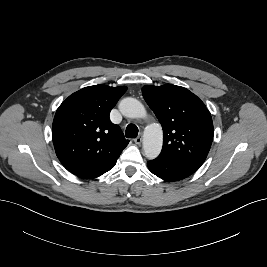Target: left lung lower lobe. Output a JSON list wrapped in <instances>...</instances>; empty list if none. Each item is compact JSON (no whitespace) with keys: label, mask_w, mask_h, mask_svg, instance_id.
Masks as SVG:
<instances>
[{"label":"left lung lower lobe","mask_w":267,"mask_h":267,"mask_svg":"<svg viewBox=\"0 0 267 267\" xmlns=\"http://www.w3.org/2000/svg\"><path fill=\"white\" fill-rule=\"evenodd\" d=\"M147 166L154 175L165 181H179L190 176L199 168L190 164L168 162L157 158L148 161Z\"/></svg>","instance_id":"left-lung-lower-lobe-1"}]
</instances>
